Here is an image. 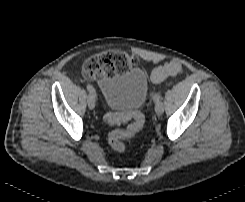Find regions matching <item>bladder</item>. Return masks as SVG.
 <instances>
[{"label":"bladder","mask_w":245,"mask_h":202,"mask_svg":"<svg viewBox=\"0 0 245 202\" xmlns=\"http://www.w3.org/2000/svg\"><path fill=\"white\" fill-rule=\"evenodd\" d=\"M103 104L110 109L135 111L147 100L148 80L140 68H134L99 82Z\"/></svg>","instance_id":"31cf9c89"}]
</instances>
